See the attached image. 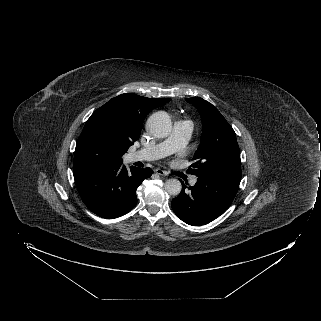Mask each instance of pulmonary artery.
Instances as JSON below:
<instances>
[{"mask_svg": "<svg viewBox=\"0 0 321 321\" xmlns=\"http://www.w3.org/2000/svg\"><path fill=\"white\" fill-rule=\"evenodd\" d=\"M193 125L188 120H178L175 122L171 134L163 141L139 149L132 153L134 160H158L182 149L191 138ZM196 178L190 181L195 185Z\"/></svg>", "mask_w": 321, "mask_h": 321, "instance_id": "e3ab8cb5", "label": "pulmonary artery"}]
</instances>
